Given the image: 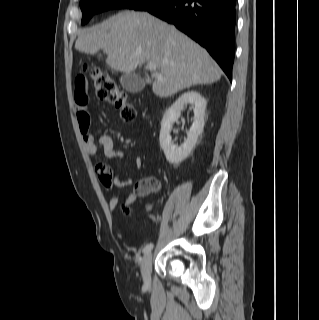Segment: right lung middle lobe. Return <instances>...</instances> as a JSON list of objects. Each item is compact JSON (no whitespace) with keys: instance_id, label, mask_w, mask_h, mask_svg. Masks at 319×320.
<instances>
[{"instance_id":"dd1d6c3e","label":"right lung middle lobe","mask_w":319,"mask_h":320,"mask_svg":"<svg viewBox=\"0 0 319 320\" xmlns=\"http://www.w3.org/2000/svg\"><path fill=\"white\" fill-rule=\"evenodd\" d=\"M152 0H80L82 10V24H86L96 13L109 9H136Z\"/></svg>"}]
</instances>
